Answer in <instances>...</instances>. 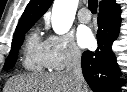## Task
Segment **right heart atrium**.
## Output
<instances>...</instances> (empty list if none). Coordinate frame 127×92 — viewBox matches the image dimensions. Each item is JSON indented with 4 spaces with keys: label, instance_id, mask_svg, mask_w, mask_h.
<instances>
[{
    "label": "right heart atrium",
    "instance_id": "1",
    "mask_svg": "<svg viewBox=\"0 0 127 92\" xmlns=\"http://www.w3.org/2000/svg\"><path fill=\"white\" fill-rule=\"evenodd\" d=\"M82 52L70 34H51L44 41V59L50 70H62L80 62Z\"/></svg>",
    "mask_w": 127,
    "mask_h": 92
}]
</instances>
